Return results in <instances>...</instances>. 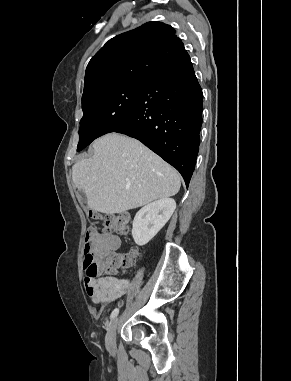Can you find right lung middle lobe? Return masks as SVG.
I'll list each match as a JSON object with an SVG mask.
<instances>
[{"instance_id":"obj_1","label":"right lung middle lobe","mask_w":291,"mask_h":381,"mask_svg":"<svg viewBox=\"0 0 291 381\" xmlns=\"http://www.w3.org/2000/svg\"><path fill=\"white\" fill-rule=\"evenodd\" d=\"M145 82H129L103 89L82 101L77 151L131 118Z\"/></svg>"}]
</instances>
